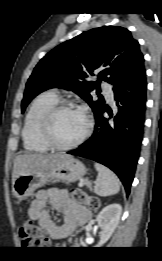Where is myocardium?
<instances>
[{
	"label": "myocardium",
	"instance_id": "myocardium-1",
	"mask_svg": "<svg viewBox=\"0 0 162 261\" xmlns=\"http://www.w3.org/2000/svg\"><path fill=\"white\" fill-rule=\"evenodd\" d=\"M66 110H78L83 113L86 119V127L84 132L81 134V136L76 139L75 141L69 143V144H61L57 142V140L54 137L53 133V123L55 120V117L62 111ZM91 120L90 118L79 108H77L74 104L62 101L57 102L55 105H53L51 108H49L45 114L43 115L40 123V131L41 136L44 140V142L52 149L59 150V151H67L71 150L77 146H79L89 135L91 131Z\"/></svg>",
	"mask_w": 162,
	"mask_h": 261
}]
</instances>
